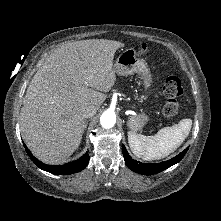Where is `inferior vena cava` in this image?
Here are the masks:
<instances>
[{"mask_svg": "<svg viewBox=\"0 0 221 221\" xmlns=\"http://www.w3.org/2000/svg\"><path fill=\"white\" fill-rule=\"evenodd\" d=\"M97 108L94 105H86L82 109V114L85 118H90L95 115Z\"/></svg>", "mask_w": 221, "mask_h": 221, "instance_id": "obj_1", "label": "inferior vena cava"}]
</instances>
